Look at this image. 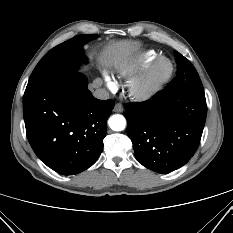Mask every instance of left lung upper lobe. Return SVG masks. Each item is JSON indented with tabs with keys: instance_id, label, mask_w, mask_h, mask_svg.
<instances>
[{
	"instance_id": "1",
	"label": "left lung upper lobe",
	"mask_w": 233,
	"mask_h": 233,
	"mask_svg": "<svg viewBox=\"0 0 233 233\" xmlns=\"http://www.w3.org/2000/svg\"><path fill=\"white\" fill-rule=\"evenodd\" d=\"M175 57L178 64L177 76L165 89L167 91L204 94L201 80L192 64L177 51H175Z\"/></svg>"
}]
</instances>
